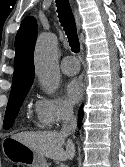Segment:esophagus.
Masks as SVG:
<instances>
[{
	"label": "esophagus",
	"mask_w": 125,
	"mask_h": 167,
	"mask_svg": "<svg viewBox=\"0 0 125 167\" xmlns=\"http://www.w3.org/2000/svg\"><path fill=\"white\" fill-rule=\"evenodd\" d=\"M74 16H75L77 28L79 31H81L80 15H79L77 8L75 6H74Z\"/></svg>",
	"instance_id": "esophagus-1"
}]
</instances>
